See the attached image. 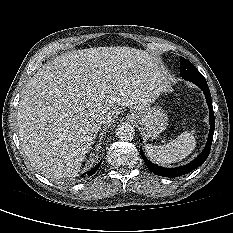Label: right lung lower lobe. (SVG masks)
Masks as SVG:
<instances>
[{
    "mask_svg": "<svg viewBox=\"0 0 233 233\" xmlns=\"http://www.w3.org/2000/svg\"><path fill=\"white\" fill-rule=\"evenodd\" d=\"M100 165H101V162L98 165H96L93 169H91L89 171V176L92 175V174H94L98 170V168L100 167ZM82 176H84V175H82Z\"/></svg>",
    "mask_w": 233,
    "mask_h": 233,
    "instance_id": "right-lung-lower-lobe-1",
    "label": "right lung lower lobe"
}]
</instances>
